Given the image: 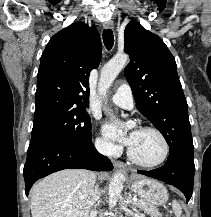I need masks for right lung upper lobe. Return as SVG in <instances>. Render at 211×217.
I'll return each instance as SVG.
<instances>
[{
  "mask_svg": "<svg viewBox=\"0 0 211 217\" xmlns=\"http://www.w3.org/2000/svg\"><path fill=\"white\" fill-rule=\"evenodd\" d=\"M102 54L94 27L76 22L47 44L37 75L34 118L51 112L85 110L89 104V75Z\"/></svg>",
  "mask_w": 211,
  "mask_h": 217,
  "instance_id": "1",
  "label": "right lung upper lobe"
}]
</instances>
